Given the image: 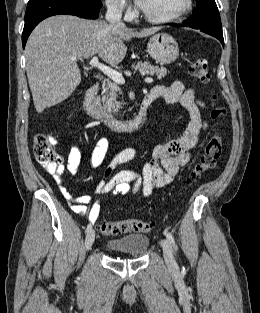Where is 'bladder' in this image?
Listing matches in <instances>:
<instances>
[{
	"mask_svg": "<svg viewBox=\"0 0 260 313\" xmlns=\"http://www.w3.org/2000/svg\"><path fill=\"white\" fill-rule=\"evenodd\" d=\"M149 246V237L144 234H131L111 239L107 242V248L115 252H124L133 258L143 256Z\"/></svg>",
	"mask_w": 260,
	"mask_h": 313,
	"instance_id": "bladder-1",
	"label": "bladder"
}]
</instances>
